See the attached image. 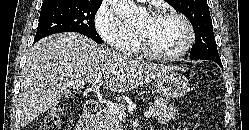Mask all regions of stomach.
<instances>
[{"instance_id": "0dacf381", "label": "stomach", "mask_w": 249, "mask_h": 130, "mask_svg": "<svg viewBox=\"0 0 249 130\" xmlns=\"http://www.w3.org/2000/svg\"><path fill=\"white\" fill-rule=\"evenodd\" d=\"M154 87L168 99L181 98L190 91L189 80L176 70H170L154 79Z\"/></svg>"}]
</instances>
